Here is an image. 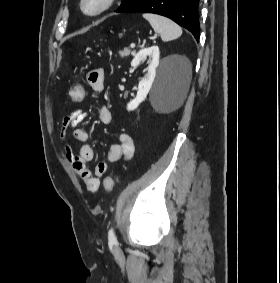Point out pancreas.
<instances>
[{"mask_svg": "<svg viewBox=\"0 0 280 283\" xmlns=\"http://www.w3.org/2000/svg\"><path fill=\"white\" fill-rule=\"evenodd\" d=\"M121 58L128 57L130 55V50L128 48H124V50L118 52Z\"/></svg>", "mask_w": 280, "mask_h": 283, "instance_id": "1", "label": "pancreas"}]
</instances>
